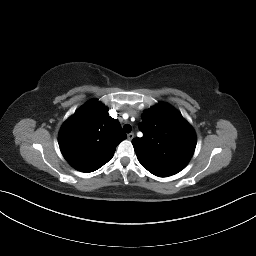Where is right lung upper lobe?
<instances>
[{
	"label": "right lung upper lobe",
	"instance_id": "obj_1",
	"mask_svg": "<svg viewBox=\"0 0 256 256\" xmlns=\"http://www.w3.org/2000/svg\"><path fill=\"white\" fill-rule=\"evenodd\" d=\"M127 138L108 108L91 100L62 125L58 142L64 158L81 172H93L114 155L116 146Z\"/></svg>",
	"mask_w": 256,
	"mask_h": 256
}]
</instances>
